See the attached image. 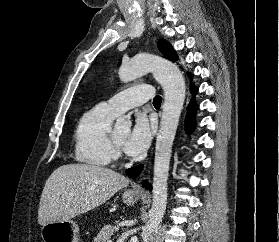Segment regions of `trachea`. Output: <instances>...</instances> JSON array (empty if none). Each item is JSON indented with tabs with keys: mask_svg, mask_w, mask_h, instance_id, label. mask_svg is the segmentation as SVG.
<instances>
[{
	"mask_svg": "<svg viewBox=\"0 0 279 242\" xmlns=\"http://www.w3.org/2000/svg\"><path fill=\"white\" fill-rule=\"evenodd\" d=\"M161 101H162V97L157 95V96L154 97L153 105L154 106H160L161 105Z\"/></svg>",
	"mask_w": 279,
	"mask_h": 242,
	"instance_id": "trachea-1",
	"label": "trachea"
}]
</instances>
